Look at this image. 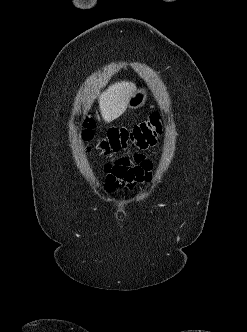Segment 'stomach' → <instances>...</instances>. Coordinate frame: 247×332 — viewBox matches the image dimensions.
Returning <instances> with one entry per match:
<instances>
[{
  "instance_id": "obj_1",
  "label": "stomach",
  "mask_w": 247,
  "mask_h": 332,
  "mask_svg": "<svg viewBox=\"0 0 247 332\" xmlns=\"http://www.w3.org/2000/svg\"><path fill=\"white\" fill-rule=\"evenodd\" d=\"M147 99V91L144 88L137 89L129 100L128 108L135 110L143 106Z\"/></svg>"
}]
</instances>
